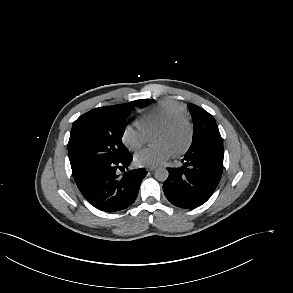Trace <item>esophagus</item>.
Listing matches in <instances>:
<instances>
[{
	"label": "esophagus",
	"mask_w": 293,
	"mask_h": 293,
	"mask_svg": "<svg viewBox=\"0 0 293 293\" xmlns=\"http://www.w3.org/2000/svg\"><path fill=\"white\" fill-rule=\"evenodd\" d=\"M155 169H156V167H147L146 168V170L149 171V172L154 171Z\"/></svg>",
	"instance_id": "1"
}]
</instances>
